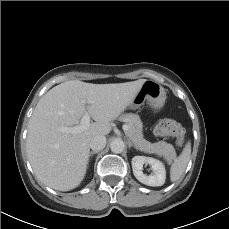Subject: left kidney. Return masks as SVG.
Here are the masks:
<instances>
[{
  "instance_id": "5707ae66",
  "label": "left kidney",
  "mask_w": 229,
  "mask_h": 229,
  "mask_svg": "<svg viewBox=\"0 0 229 229\" xmlns=\"http://www.w3.org/2000/svg\"><path fill=\"white\" fill-rule=\"evenodd\" d=\"M149 164L153 171L151 175L143 173V165ZM133 174L138 181L148 186H162L166 179V170L164 164L152 157L135 156L132 158Z\"/></svg>"
}]
</instances>
